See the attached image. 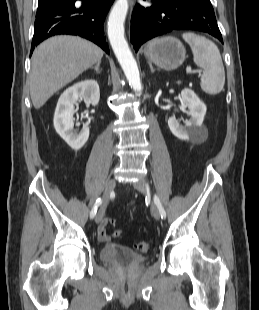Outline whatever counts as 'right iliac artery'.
Listing matches in <instances>:
<instances>
[{"label": "right iliac artery", "instance_id": "1", "mask_svg": "<svg viewBox=\"0 0 259 310\" xmlns=\"http://www.w3.org/2000/svg\"><path fill=\"white\" fill-rule=\"evenodd\" d=\"M101 203H102L101 198H98V199L96 200V202H95V204H94V206H93L91 212H90V217H91V218H94V217H95L96 212H97V209H98V207L101 205Z\"/></svg>", "mask_w": 259, "mask_h": 310}]
</instances>
